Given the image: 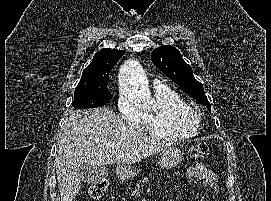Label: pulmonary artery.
I'll list each match as a JSON object with an SVG mask.
<instances>
[{"mask_svg": "<svg viewBox=\"0 0 271 201\" xmlns=\"http://www.w3.org/2000/svg\"><path fill=\"white\" fill-rule=\"evenodd\" d=\"M154 83H155V84H158V83H159V81H158V80H155V81H154Z\"/></svg>", "mask_w": 271, "mask_h": 201, "instance_id": "pulmonary-artery-1", "label": "pulmonary artery"}]
</instances>
